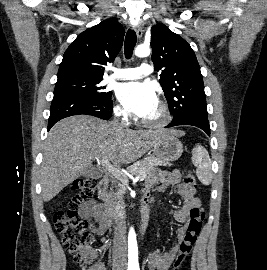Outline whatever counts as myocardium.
Segmentation results:
<instances>
[{
    "instance_id": "1",
    "label": "myocardium",
    "mask_w": 267,
    "mask_h": 270,
    "mask_svg": "<svg viewBox=\"0 0 267 270\" xmlns=\"http://www.w3.org/2000/svg\"><path fill=\"white\" fill-rule=\"evenodd\" d=\"M158 107H159V117L155 120L142 119L141 124L143 126L152 129H159L165 127L170 123L172 117L168 105L165 102L160 101L158 103Z\"/></svg>"
}]
</instances>
